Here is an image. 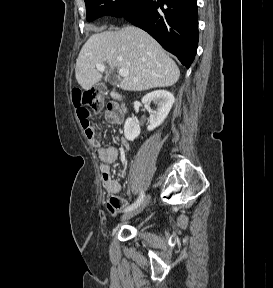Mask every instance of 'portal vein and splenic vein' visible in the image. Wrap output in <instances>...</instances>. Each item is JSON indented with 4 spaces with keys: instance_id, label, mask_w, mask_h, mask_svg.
I'll return each instance as SVG.
<instances>
[{
    "instance_id": "portal-vein-and-splenic-vein-1",
    "label": "portal vein and splenic vein",
    "mask_w": 273,
    "mask_h": 288,
    "mask_svg": "<svg viewBox=\"0 0 273 288\" xmlns=\"http://www.w3.org/2000/svg\"><path fill=\"white\" fill-rule=\"evenodd\" d=\"M105 68H106V66L104 64H99V63L96 64V69L98 71L103 72L105 70ZM118 73H119V76H121V77H127L129 75V70L126 68H120Z\"/></svg>"
}]
</instances>
